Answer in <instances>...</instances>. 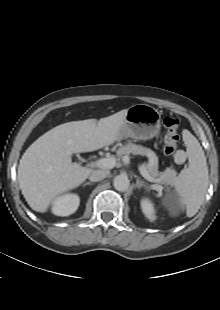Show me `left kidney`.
<instances>
[{
  "mask_svg": "<svg viewBox=\"0 0 220 310\" xmlns=\"http://www.w3.org/2000/svg\"><path fill=\"white\" fill-rule=\"evenodd\" d=\"M141 207H142L143 213L148 219L150 220L155 219V215H154L155 210H154L153 204L148 199H143L141 201Z\"/></svg>",
  "mask_w": 220,
  "mask_h": 310,
  "instance_id": "5707ae66",
  "label": "left kidney"
}]
</instances>
